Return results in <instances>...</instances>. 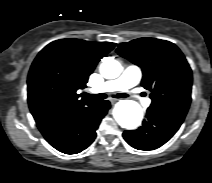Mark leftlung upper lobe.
<instances>
[{"instance_id":"5c2ea615","label":"left lung upper lobe","mask_w":212,"mask_h":183,"mask_svg":"<svg viewBox=\"0 0 212 183\" xmlns=\"http://www.w3.org/2000/svg\"><path fill=\"white\" fill-rule=\"evenodd\" d=\"M117 53L138 65L151 107L186 115L191 102L192 71L179 48L165 40L139 38L121 43Z\"/></svg>"}]
</instances>
